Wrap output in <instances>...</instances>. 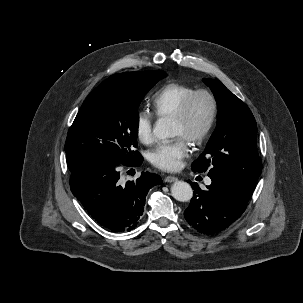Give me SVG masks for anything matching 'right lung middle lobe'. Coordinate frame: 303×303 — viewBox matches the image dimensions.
Masks as SVG:
<instances>
[{
	"label": "right lung middle lobe",
	"mask_w": 303,
	"mask_h": 303,
	"mask_svg": "<svg viewBox=\"0 0 303 303\" xmlns=\"http://www.w3.org/2000/svg\"><path fill=\"white\" fill-rule=\"evenodd\" d=\"M167 74L162 70L136 75L114 74L82 104L68 133L65 152L69 170L88 159L132 164L137 151L138 106L144 94Z\"/></svg>",
	"instance_id": "right-lung-middle-lobe-1"
}]
</instances>
